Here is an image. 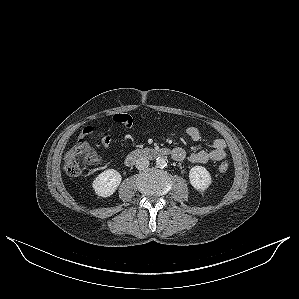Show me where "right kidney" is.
I'll return each mask as SVG.
<instances>
[{
  "instance_id": "obj_1",
  "label": "right kidney",
  "mask_w": 299,
  "mask_h": 299,
  "mask_svg": "<svg viewBox=\"0 0 299 299\" xmlns=\"http://www.w3.org/2000/svg\"><path fill=\"white\" fill-rule=\"evenodd\" d=\"M121 180V175L117 170L108 169L94 179L92 187L98 196L109 197L116 191Z\"/></svg>"
}]
</instances>
